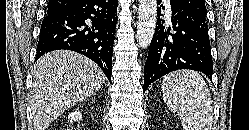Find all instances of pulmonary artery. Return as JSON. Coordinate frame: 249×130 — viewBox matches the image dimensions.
Segmentation results:
<instances>
[{
    "label": "pulmonary artery",
    "instance_id": "1",
    "mask_svg": "<svg viewBox=\"0 0 249 130\" xmlns=\"http://www.w3.org/2000/svg\"><path fill=\"white\" fill-rule=\"evenodd\" d=\"M164 2L166 3L168 14H170L171 13V7H170V4H169V0H164Z\"/></svg>",
    "mask_w": 249,
    "mask_h": 130
}]
</instances>
